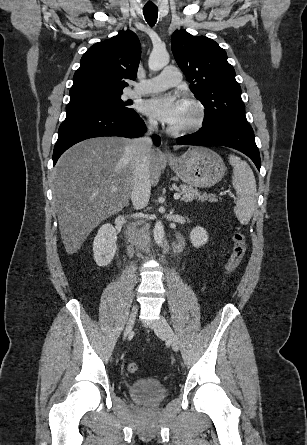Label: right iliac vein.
Listing matches in <instances>:
<instances>
[{"label": "right iliac vein", "mask_w": 307, "mask_h": 445, "mask_svg": "<svg viewBox=\"0 0 307 445\" xmlns=\"http://www.w3.org/2000/svg\"><path fill=\"white\" fill-rule=\"evenodd\" d=\"M136 314H137V308L133 307V309L129 315V319L127 321L125 330H124V334H123L124 339L131 333V331L133 329L135 319H136Z\"/></svg>", "instance_id": "right-iliac-vein-1"}]
</instances>
